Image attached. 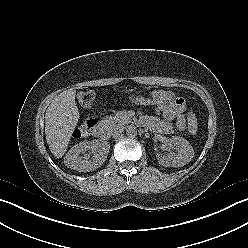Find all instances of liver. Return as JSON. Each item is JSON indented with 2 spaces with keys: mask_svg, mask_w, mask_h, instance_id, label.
<instances>
[{
  "mask_svg": "<svg viewBox=\"0 0 248 248\" xmlns=\"http://www.w3.org/2000/svg\"><path fill=\"white\" fill-rule=\"evenodd\" d=\"M75 94L76 91L73 89L62 92L46 110V141L56 158H61L65 154L73 130L79 120Z\"/></svg>",
  "mask_w": 248,
  "mask_h": 248,
  "instance_id": "liver-1",
  "label": "liver"
}]
</instances>
